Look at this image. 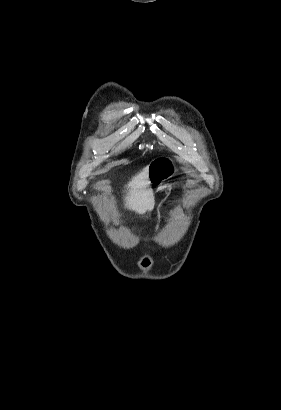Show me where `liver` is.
<instances>
[{
    "mask_svg": "<svg viewBox=\"0 0 281 410\" xmlns=\"http://www.w3.org/2000/svg\"><path fill=\"white\" fill-rule=\"evenodd\" d=\"M149 184L148 167H145L128 183V191L125 197V205L128 209L138 214H144L152 210V196L146 189Z\"/></svg>",
    "mask_w": 281,
    "mask_h": 410,
    "instance_id": "obj_1",
    "label": "liver"
}]
</instances>
